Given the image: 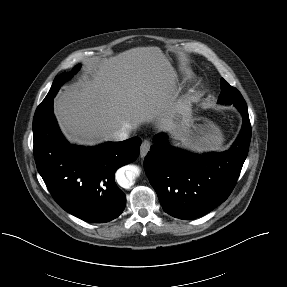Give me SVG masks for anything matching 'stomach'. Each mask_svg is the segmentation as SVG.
Masks as SVG:
<instances>
[{
  "label": "stomach",
  "mask_w": 287,
  "mask_h": 287,
  "mask_svg": "<svg viewBox=\"0 0 287 287\" xmlns=\"http://www.w3.org/2000/svg\"><path fill=\"white\" fill-rule=\"evenodd\" d=\"M180 137L184 146L198 152L219 149L223 145L220 128L209 119L198 116L195 111L190 112Z\"/></svg>",
  "instance_id": "obj_1"
}]
</instances>
